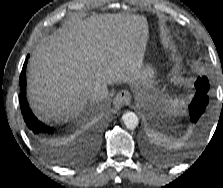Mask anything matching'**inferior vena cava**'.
<instances>
[{"label": "inferior vena cava", "instance_id": "obj_1", "mask_svg": "<svg viewBox=\"0 0 223 188\" xmlns=\"http://www.w3.org/2000/svg\"><path fill=\"white\" fill-rule=\"evenodd\" d=\"M107 86L108 84L104 81H96L95 84L86 91L87 99L93 102L103 101L108 96Z\"/></svg>", "mask_w": 223, "mask_h": 188}]
</instances>
